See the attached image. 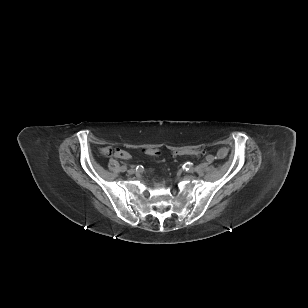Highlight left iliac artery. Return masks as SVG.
<instances>
[{
    "label": "left iliac artery",
    "mask_w": 308,
    "mask_h": 308,
    "mask_svg": "<svg viewBox=\"0 0 308 308\" xmlns=\"http://www.w3.org/2000/svg\"><path fill=\"white\" fill-rule=\"evenodd\" d=\"M207 161L212 163L214 161V156H207Z\"/></svg>",
    "instance_id": "left-iliac-artery-1"
}]
</instances>
